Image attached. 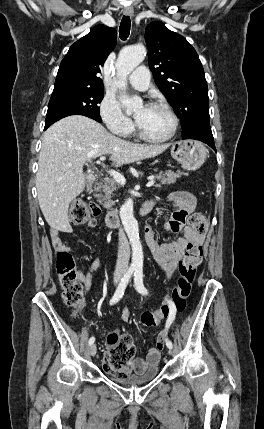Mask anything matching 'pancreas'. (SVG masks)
<instances>
[{
  "instance_id": "pancreas-1",
  "label": "pancreas",
  "mask_w": 264,
  "mask_h": 429,
  "mask_svg": "<svg viewBox=\"0 0 264 429\" xmlns=\"http://www.w3.org/2000/svg\"><path fill=\"white\" fill-rule=\"evenodd\" d=\"M183 173L180 171H165L160 172L155 175L154 178L159 181L155 185V187H161V185H169L176 182V180ZM117 182L114 178L105 177L101 179L99 182H96L93 188H89L90 192H94L95 196L98 198V202L103 204V207L106 209H110L113 205V201H111V197L113 192L116 190Z\"/></svg>"
}]
</instances>
